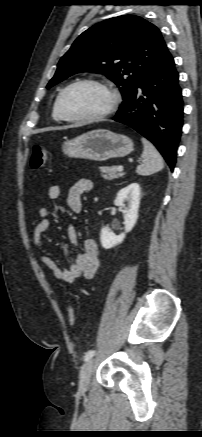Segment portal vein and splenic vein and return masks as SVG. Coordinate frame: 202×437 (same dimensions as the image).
<instances>
[{"instance_id":"obj_1","label":"portal vein and splenic vein","mask_w":202,"mask_h":437,"mask_svg":"<svg viewBox=\"0 0 202 437\" xmlns=\"http://www.w3.org/2000/svg\"><path fill=\"white\" fill-rule=\"evenodd\" d=\"M117 171L118 172H122L123 171V166H118Z\"/></svg>"}]
</instances>
